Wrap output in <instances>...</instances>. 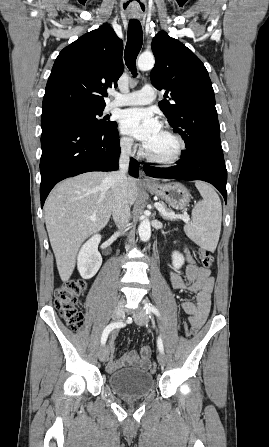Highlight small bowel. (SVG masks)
Returning <instances> with one entry per match:
<instances>
[{
	"instance_id": "obj_1",
	"label": "small bowel",
	"mask_w": 269,
	"mask_h": 447,
	"mask_svg": "<svg viewBox=\"0 0 269 447\" xmlns=\"http://www.w3.org/2000/svg\"><path fill=\"white\" fill-rule=\"evenodd\" d=\"M186 259L188 262L186 268L187 280H184L176 272H170V282L174 289L180 291H188L195 294L194 301L183 300L180 301L179 306L190 316V323L200 328L210 311L211 307V295L214 290L215 280L212 276L210 269L198 266L191 258L187 250H184ZM116 334H112L109 339V354L110 360L107 365L108 371H115L128 365H134L141 369H147V365L150 362V356H143L142 349L147 345L140 348L139 353L130 351L122 355L119 359H114V344Z\"/></svg>"
}]
</instances>
